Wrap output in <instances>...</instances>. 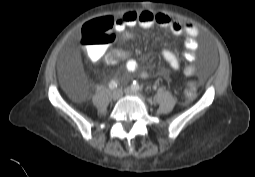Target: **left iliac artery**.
<instances>
[{"mask_svg": "<svg viewBox=\"0 0 255 177\" xmlns=\"http://www.w3.org/2000/svg\"><path fill=\"white\" fill-rule=\"evenodd\" d=\"M131 88H132L133 90L137 91V92L140 91V86H139V84H138L136 81H134V82L132 83Z\"/></svg>", "mask_w": 255, "mask_h": 177, "instance_id": "44dca946", "label": "left iliac artery"}]
</instances>
